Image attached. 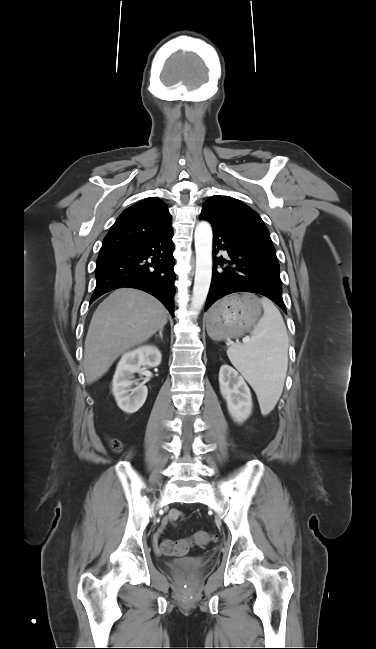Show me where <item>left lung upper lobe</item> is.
Wrapping results in <instances>:
<instances>
[{
	"mask_svg": "<svg viewBox=\"0 0 376 649\" xmlns=\"http://www.w3.org/2000/svg\"><path fill=\"white\" fill-rule=\"evenodd\" d=\"M213 227L254 244L276 256L270 233L261 217L249 206L229 196L210 197L200 214Z\"/></svg>",
	"mask_w": 376,
	"mask_h": 649,
	"instance_id": "left-lung-upper-lobe-1",
	"label": "left lung upper lobe"
}]
</instances>
